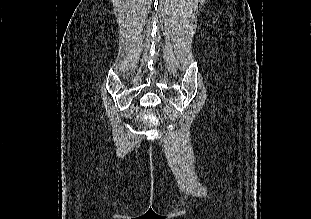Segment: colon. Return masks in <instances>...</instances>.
Masks as SVG:
<instances>
[{
	"instance_id": "obj_1",
	"label": "colon",
	"mask_w": 311,
	"mask_h": 219,
	"mask_svg": "<svg viewBox=\"0 0 311 219\" xmlns=\"http://www.w3.org/2000/svg\"><path fill=\"white\" fill-rule=\"evenodd\" d=\"M154 124L157 123V118L153 115H148L147 116Z\"/></svg>"
}]
</instances>
